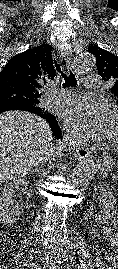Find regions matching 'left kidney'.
<instances>
[{"mask_svg":"<svg viewBox=\"0 0 118 269\" xmlns=\"http://www.w3.org/2000/svg\"><path fill=\"white\" fill-rule=\"evenodd\" d=\"M94 190L99 191L101 194V209L95 222L98 224H105L112 217L116 201L109 186H103L99 183Z\"/></svg>","mask_w":118,"mask_h":269,"instance_id":"5707ae66","label":"left kidney"}]
</instances>
